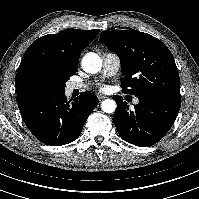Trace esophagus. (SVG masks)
Segmentation results:
<instances>
[{"mask_svg":"<svg viewBox=\"0 0 199 199\" xmlns=\"http://www.w3.org/2000/svg\"><path fill=\"white\" fill-rule=\"evenodd\" d=\"M97 97H98L99 101H102L103 99L107 98V96L103 95V94H97Z\"/></svg>","mask_w":199,"mask_h":199,"instance_id":"34e87169","label":"esophagus"}]
</instances>
